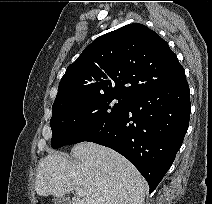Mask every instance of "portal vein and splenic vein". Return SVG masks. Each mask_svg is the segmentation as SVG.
Segmentation results:
<instances>
[{
	"instance_id": "obj_1",
	"label": "portal vein and splenic vein",
	"mask_w": 212,
	"mask_h": 204,
	"mask_svg": "<svg viewBox=\"0 0 212 204\" xmlns=\"http://www.w3.org/2000/svg\"><path fill=\"white\" fill-rule=\"evenodd\" d=\"M76 194L81 196L83 194V189L82 188H76Z\"/></svg>"
}]
</instances>
